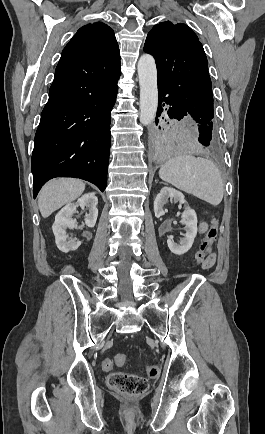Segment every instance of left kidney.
Instances as JSON below:
<instances>
[{"label": "left kidney", "mask_w": 265, "mask_h": 434, "mask_svg": "<svg viewBox=\"0 0 265 434\" xmlns=\"http://www.w3.org/2000/svg\"><path fill=\"white\" fill-rule=\"evenodd\" d=\"M169 198L170 200H174V202L186 204V208L181 216V222L184 224L186 230V234H184L185 238H182L179 244H175L172 240H167L169 250H171L173 254L181 256V254H186V252L192 248L194 238H196L197 234V216L196 212L189 208L182 192H178V190H174V188H167V186H165V188L160 190V194H157L154 200V214L156 218L164 216L165 212L163 206L168 202Z\"/></svg>", "instance_id": "1"}]
</instances>
